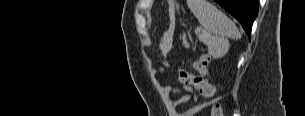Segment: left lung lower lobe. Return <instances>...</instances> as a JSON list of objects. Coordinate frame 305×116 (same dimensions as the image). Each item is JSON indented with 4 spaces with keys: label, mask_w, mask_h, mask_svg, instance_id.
Instances as JSON below:
<instances>
[{
    "label": "left lung lower lobe",
    "mask_w": 305,
    "mask_h": 116,
    "mask_svg": "<svg viewBox=\"0 0 305 116\" xmlns=\"http://www.w3.org/2000/svg\"><path fill=\"white\" fill-rule=\"evenodd\" d=\"M234 16L250 37L252 24L258 13V0H215Z\"/></svg>",
    "instance_id": "obj_1"
}]
</instances>
